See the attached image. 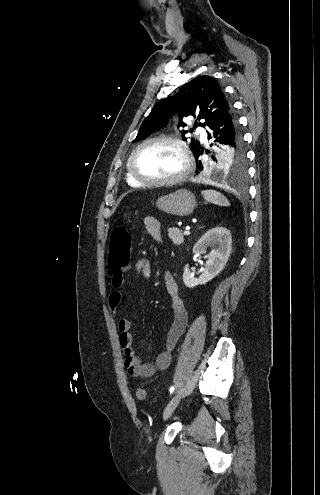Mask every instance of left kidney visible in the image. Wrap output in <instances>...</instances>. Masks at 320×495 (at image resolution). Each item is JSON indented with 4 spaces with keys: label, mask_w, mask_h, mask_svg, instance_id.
Returning a JSON list of instances; mask_svg holds the SVG:
<instances>
[{
    "label": "left kidney",
    "mask_w": 320,
    "mask_h": 495,
    "mask_svg": "<svg viewBox=\"0 0 320 495\" xmlns=\"http://www.w3.org/2000/svg\"><path fill=\"white\" fill-rule=\"evenodd\" d=\"M231 234L224 227H215L207 231L194 245L193 253L200 255L206 253L210 247L212 251L207 255L206 266L199 278H195L187 264L184 268L183 282L185 286L193 288L204 285L216 277L225 267L231 253Z\"/></svg>",
    "instance_id": "obj_1"
}]
</instances>
